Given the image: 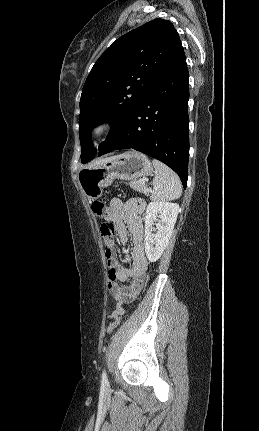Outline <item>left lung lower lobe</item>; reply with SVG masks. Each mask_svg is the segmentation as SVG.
<instances>
[{"instance_id": "left-lung-lower-lobe-1", "label": "left lung lower lobe", "mask_w": 259, "mask_h": 431, "mask_svg": "<svg viewBox=\"0 0 259 431\" xmlns=\"http://www.w3.org/2000/svg\"><path fill=\"white\" fill-rule=\"evenodd\" d=\"M189 73L183 47L98 156L135 149L168 165L186 188L189 156Z\"/></svg>"}]
</instances>
